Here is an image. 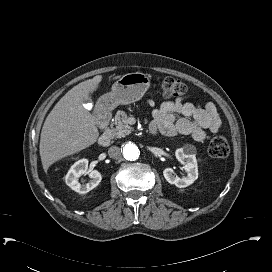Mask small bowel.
Returning a JSON list of instances; mask_svg holds the SVG:
<instances>
[{
    "mask_svg": "<svg viewBox=\"0 0 272 272\" xmlns=\"http://www.w3.org/2000/svg\"><path fill=\"white\" fill-rule=\"evenodd\" d=\"M149 101L148 106L154 107ZM154 121L158 130L166 136L189 134L194 140L203 142L206 138L205 129L212 133H219L221 122L214 103L208 102L204 107L195 105L183 99L168 101L160 108L153 110ZM180 118L177 119V117Z\"/></svg>",
    "mask_w": 272,
    "mask_h": 272,
    "instance_id": "small-bowel-1",
    "label": "small bowel"
}]
</instances>
